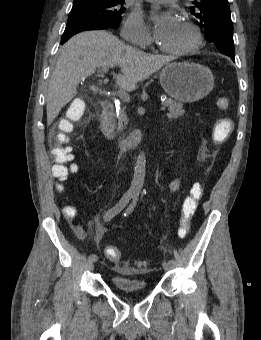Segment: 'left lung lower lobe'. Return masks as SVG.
<instances>
[{
  "label": "left lung lower lobe",
  "mask_w": 261,
  "mask_h": 340,
  "mask_svg": "<svg viewBox=\"0 0 261 340\" xmlns=\"http://www.w3.org/2000/svg\"><path fill=\"white\" fill-rule=\"evenodd\" d=\"M231 57V59L234 61L235 60V58H234V56H230Z\"/></svg>",
  "instance_id": "1"
}]
</instances>
